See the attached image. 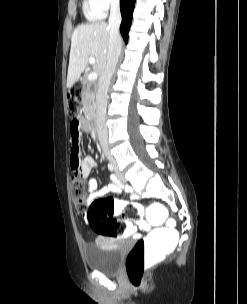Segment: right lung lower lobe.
Here are the masks:
<instances>
[{"instance_id": "obj_1", "label": "right lung lower lobe", "mask_w": 247, "mask_h": 304, "mask_svg": "<svg viewBox=\"0 0 247 304\" xmlns=\"http://www.w3.org/2000/svg\"><path fill=\"white\" fill-rule=\"evenodd\" d=\"M136 0H120V10L122 15V23L120 32L125 42L128 40V32L132 21V13Z\"/></svg>"}]
</instances>
